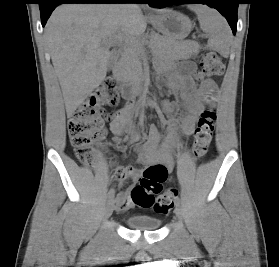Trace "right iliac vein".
<instances>
[{
  "label": "right iliac vein",
  "instance_id": "right-iliac-vein-1",
  "mask_svg": "<svg viewBox=\"0 0 279 267\" xmlns=\"http://www.w3.org/2000/svg\"><path fill=\"white\" fill-rule=\"evenodd\" d=\"M113 210H114V201H113V199H111L107 203L106 210H105V213H104V217L109 218L112 215Z\"/></svg>",
  "mask_w": 279,
  "mask_h": 267
}]
</instances>
